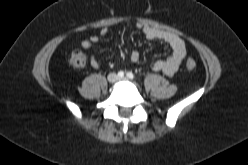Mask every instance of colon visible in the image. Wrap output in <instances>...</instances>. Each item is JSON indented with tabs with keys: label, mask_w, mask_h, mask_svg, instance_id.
Masks as SVG:
<instances>
[{
	"label": "colon",
	"mask_w": 248,
	"mask_h": 165,
	"mask_svg": "<svg viewBox=\"0 0 248 165\" xmlns=\"http://www.w3.org/2000/svg\"><path fill=\"white\" fill-rule=\"evenodd\" d=\"M70 64L77 69H82L87 65V56L79 50H75L72 52L70 56ZM186 69L189 71H193L196 69V62L192 59L187 60Z\"/></svg>",
	"instance_id": "1"
}]
</instances>
